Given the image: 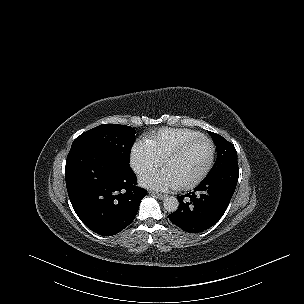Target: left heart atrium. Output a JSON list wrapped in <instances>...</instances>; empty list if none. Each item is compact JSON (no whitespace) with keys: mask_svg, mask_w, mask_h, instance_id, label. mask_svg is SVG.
Returning <instances> with one entry per match:
<instances>
[{"mask_svg":"<svg viewBox=\"0 0 304 304\" xmlns=\"http://www.w3.org/2000/svg\"><path fill=\"white\" fill-rule=\"evenodd\" d=\"M141 182L145 187L159 191L174 190L178 183L163 170L152 171L142 176Z\"/></svg>","mask_w":304,"mask_h":304,"instance_id":"obj_1","label":"left heart atrium"}]
</instances>
